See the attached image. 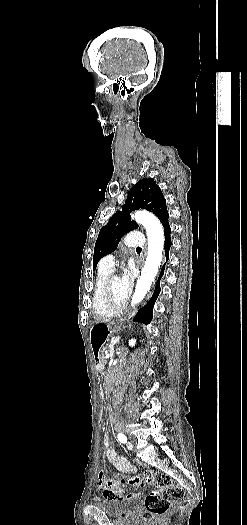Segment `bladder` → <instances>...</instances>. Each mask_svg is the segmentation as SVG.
Listing matches in <instances>:
<instances>
[{"label": "bladder", "mask_w": 247, "mask_h": 525, "mask_svg": "<svg viewBox=\"0 0 247 525\" xmlns=\"http://www.w3.org/2000/svg\"><path fill=\"white\" fill-rule=\"evenodd\" d=\"M94 506L101 509L107 516L112 518H122L132 512L139 510L142 503L138 496H128L119 498H100L99 496L93 498Z\"/></svg>", "instance_id": "obj_1"}]
</instances>
